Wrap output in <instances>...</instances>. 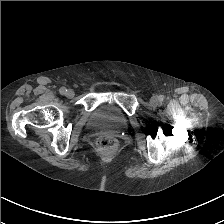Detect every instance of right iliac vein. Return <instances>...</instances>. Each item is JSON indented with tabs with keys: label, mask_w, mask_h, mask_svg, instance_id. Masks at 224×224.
Here are the masks:
<instances>
[{
	"label": "right iliac vein",
	"mask_w": 224,
	"mask_h": 224,
	"mask_svg": "<svg viewBox=\"0 0 224 224\" xmlns=\"http://www.w3.org/2000/svg\"><path fill=\"white\" fill-rule=\"evenodd\" d=\"M74 95H75V93L72 89H69V90L66 91V96L68 98H72V97H74Z\"/></svg>",
	"instance_id": "right-iliac-vein-1"
}]
</instances>
